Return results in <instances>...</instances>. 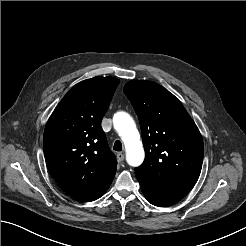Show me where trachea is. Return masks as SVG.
<instances>
[{"label": "trachea", "instance_id": "trachea-1", "mask_svg": "<svg viewBox=\"0 0 246 246\" xmlns=\"http://www.w3.org/2000/svg\"><path fill=\"white\" fill-rule=\"evenodd\" d=\"M113 149L116 150V151H122V143L119 140H117L114 143Z\"/></svg>", "mask_w": 246, "mask_h": 246}]
</instances>
